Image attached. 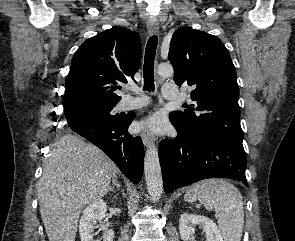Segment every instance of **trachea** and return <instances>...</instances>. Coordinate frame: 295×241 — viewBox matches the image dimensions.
Segmentation results:
<instances>
[{"label": "trachea", "mask_w": 295, "mask_h": 241, "mask_svg": "<svg viewBox=\"0 0 295 241\" xmlns=\"http://www.w3.org/2000/svg\"><path fill=\"white\" fill-rule=\"evenodd\" d=\"M158 38L157 36H152L146 45L145 50V60L143 67V77H144V90L149 92L154 91V60L157 48Z\"/></svg>", "instance_id": "obj_1"}]
</instances>
